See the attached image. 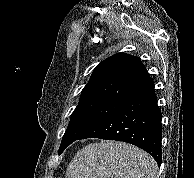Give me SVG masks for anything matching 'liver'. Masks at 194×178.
Segmentation results:
<instances>
[{
  "label": "liver",
  "instance_id": "obj_1",
  "mask_svg": "<svg viewBox=\"0 0 194 178\" xmlns=\"http://www.w3.org/2000/svg\"><path fill=\"white\" fill-rule=\"evenodd\" d=\"M155 160L138 147L118 141L91 143L70 162L66 178H157Z\"/></svg>",
  "mask_w": 194,
  "mask_h": 178
}]
</instances>
